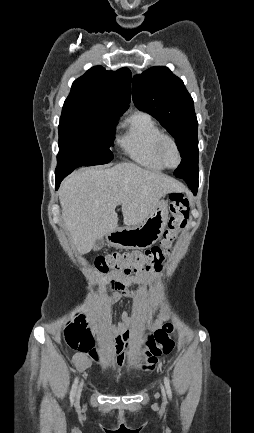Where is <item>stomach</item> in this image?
Masks as SVG:
<instances>
[{"label":"stomach","instance_id":"stomach-1","mask_svg":"<svg viewBox=\"0 0 254 433\" xmlns=\"http://www.w3.org/2000/svg\"><path fill=\"white\" fill-rule=\"evenodd\" d=\"M168 220V203L161 200L153 212L139 225L117 228L107 235L110 246L122 249H145L162 236Z\"/></svg>","mask_w":254,"mask_h":433}]
</instances>
